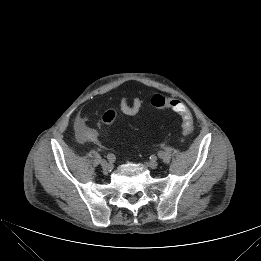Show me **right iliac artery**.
Masks as SVG:
<instances>
[{
	"label": "right iliac artery",
	"mask_w": 261,
	"mask_h": 261,
	"mask_svg": "<svg viewBox=\"0 0 261 261\" xmlns=\"http://www.w3.org/2000/svg\"><path fill=\"white\" fill-rule=\"evenodd\" d=\"M107 160L110 162V163H114L116 161V157L114 154L110 153L107 155Z\"/></svg>",
	"instance_id": "1"
}]
</instances>
